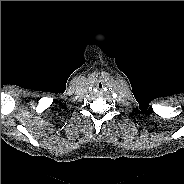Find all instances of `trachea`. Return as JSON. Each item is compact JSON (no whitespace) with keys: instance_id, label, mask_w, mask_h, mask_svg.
Masks as SVG:
<instances>
[{"instance_id":"1","label":"trachea","mask_w":184,"mask_h":184,"mask_svg":"<svg viewBox=\"0 0 184 184\" xmlns=\"http://www.w3.org/2000/svg\"><path fill=\"white\" fill-rule=\"evenodd\" d=\"M94 87H95L96 91H102L105 88V84L102 80H98V81H96Z\"/></svg>"}]
</instances>
